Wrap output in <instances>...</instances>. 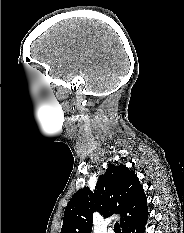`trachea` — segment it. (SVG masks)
I'll use <instances>...</instances> for the list:
<instances>
[{"label": "trachea", "instance_id": "obj_1", "mask_svg": "<svg viewBox=\"0 0 184 233\" xmlns=\"http://www.w3.org/2000/svg\"><path fill=\"white\" fill-rule=\"evenodd\" d=\"M114 232H115V233H122V232H121L120 225H119L118 222H116L115 225H114Z\"/></svg>", "mask_w": 184, "mask_h": 233}]
</instances>
